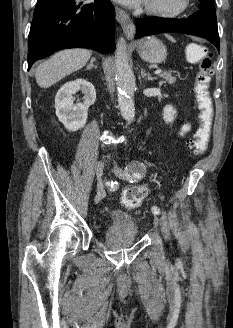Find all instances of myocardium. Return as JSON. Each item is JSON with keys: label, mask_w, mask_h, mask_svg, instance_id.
<instances>
[{"label": "myocardium", "mask_w": 233, "mask_h": 328, "mask_svg": "<svg viewBox=\"0 0 233 328\" xmlns=\"http://www.w3.org/2000/svg\"><path fill=\"white\" fill-rule=\"evenodd\" d=\"M191 0H178L176 5L173 7H162L157 6L153 2L149 0L146 5V11L158 17L163 18H177L184 15L189 7H190Z\"/></svg>", "instance_id": "obj_1"}]
</instances>
